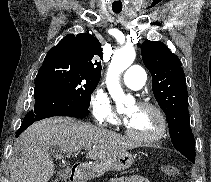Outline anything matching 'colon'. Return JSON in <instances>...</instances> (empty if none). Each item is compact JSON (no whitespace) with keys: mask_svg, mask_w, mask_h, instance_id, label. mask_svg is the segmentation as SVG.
I'll return each instance as SVG.
<instances>
[{"mask_svg":"<svg viewBox=\"0 0 211 182\" xmlns=\"http://www.w3.org/2000/svg\"><path fill=\"white\" fill-rule=\"evenodd\" d=\"M161 170L162 173L168 177H175L178 174L177 168L173 165H164ZM53 182H64V181L56 179Z\"/></svg>","mask_w":211,"mask_h":182,"instance_id":"1","label":"colon"}]
</instances>
